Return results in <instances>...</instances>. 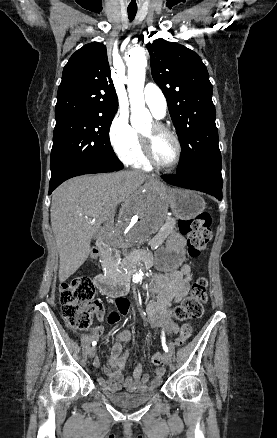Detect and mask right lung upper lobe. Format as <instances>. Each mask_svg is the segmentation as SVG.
Instances as JSON below:
<instances>
[{"label": "right lung upper lobe", "mask_w": 277, "mask_h": 438, "mask_svg": "<svg viewBox=\"0 0 277 438\" xmlns=\"http://www.w3.org/2000/svg\"><path fill=\"white\" fill-rule=\"evenodd\" d=\"M117 94L111 79L105 45H84L65 65L58 88L55 117L62 115L114 116Z\"/></svg>", "instance_id": "right-lung-upper-lobe-1"}]
</instances>
